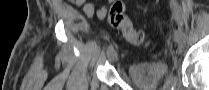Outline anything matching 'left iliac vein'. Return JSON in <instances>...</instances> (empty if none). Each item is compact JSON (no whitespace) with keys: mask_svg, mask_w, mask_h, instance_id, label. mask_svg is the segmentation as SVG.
Listing matches in <instances>:
<instances>
[{"mask_svg":"<svg viewBox=\"0 0 209 90\" xmlns=\"http://www.w3.org/2000/svg\"><path fill=\"white\" fill-rule=\"evenodd\" d=\"M174 39H177V42H178V45H179V49H182V47H183V43H182V40H181V29L179 28V29H174Z\"/></svg>","mask_w":209,"mask_h":90,"instance_id":"4c4485c4","label":"left iliac vein"}]
</instances>
